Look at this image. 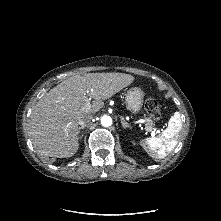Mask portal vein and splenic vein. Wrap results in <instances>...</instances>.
<instances>
[{"mask_svg": "<svg viewBox=\"0 0 221 221\" xmlns=\"http://www.w3.org/2000/svg\"><path fill=\"white\" fill-rule=\"evenodd\" d=\"M83 109L84 110H90L91 109V104H90V102H89V99H88V97H85V105L83 106ZM136 123H144V120L143 119H140V120H137V121H135ZM146 129V131H151V130H148L147 128H145ZM155 129H154V131L152 132V135H155Z\"/></svg>", "mask_w": 221, "mask_h": 221, "instance_id": "18ae733b", "label": "portal vein and splenic vein"}]
</instances>
